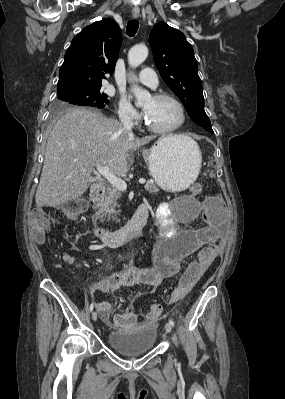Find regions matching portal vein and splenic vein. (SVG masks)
Segmentation results:
<instances>
[{"label":"portal vein and splenic vein","instance_id":"1","mask_svg":"<svg viewBox=\"0 0 285 399\" xmlns=\"http://www.w3.org/2000/svg\"><path fill=\"white\" fill-rule=\"evenodd\" d=\"M97 171L120 191H125L127 189L126 182L123 179L114 175L110 171L109 166H98ZM145 182H146L145 179H139L140 184H145Z\"/></svg>","mask_w":285,"mask_h":399}]
</instances>
